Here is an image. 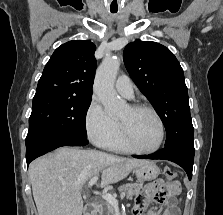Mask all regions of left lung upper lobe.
I'll return each instance as SVG.
<instances>
[{
    "label": "left lung upper lobe",
    "instance_id": "5c2ea615",
    "mask_svg": "<svg viewBox=\"0 0 223 215\" xmlns=\"http://www.w3.org/2000/svg\"><path fill=\"white\" fill-rule=\"evenodd\" d=\"M123 58L132 80L165 126V147L194 146L184 73L173 53L159 43L136 40L125 47Z\"/></svg>",
    "mask_w": 223,
    "mask_h": 215
}]
</instances>
